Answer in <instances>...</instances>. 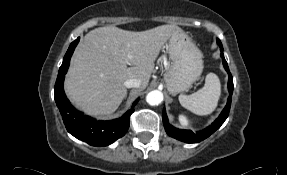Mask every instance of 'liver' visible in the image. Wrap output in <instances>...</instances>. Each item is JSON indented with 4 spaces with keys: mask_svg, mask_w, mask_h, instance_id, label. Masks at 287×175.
Returning a JSON list of instances; mask_svg holds the SVG:
<instances>
[{
    "mask_svg": "<svg viewBox=\"0 0 287 175\" xmlns=\"http://www.w3.org/2000/svg\"><path fill=\"white\" fill-rule=\"evenodd\" d=\"M180 32L176 25L141 32L115 26L91 30L71 59L64 84L67 96L89 115H111L127 94L124 82L137 78L146 87L163 45Z\"/></svg>",
    "mask_w": 287,
    "mask_h": 175,
    "instance_id": "1",
    "label": "liver"
}]
</instances>
